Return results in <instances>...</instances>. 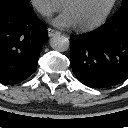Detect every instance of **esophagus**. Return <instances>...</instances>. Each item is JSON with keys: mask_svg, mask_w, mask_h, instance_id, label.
Wrapping results in <instances>:
<instances>
[{"mask_svg": "<svg viewBox=\"0 0 128 128\" xmlns=\"http://www.w3.org/2000/svg\"><path fill=\"white\" fill-rule=\"evenodd\" d=\"M47 31H48V36H49V37H52V36H54V35L60 34L59 31H57V30H55V29H53V28H48Z\"/></svg>", "mask_w": 128, "mask_h": 128, "instance_id": "1", "label": "esophagus"}]
</instances>
